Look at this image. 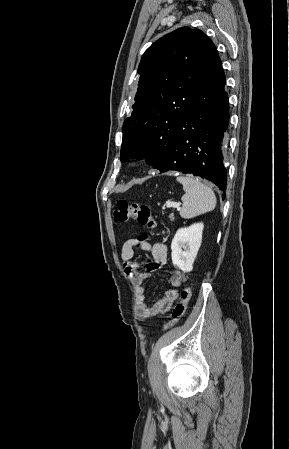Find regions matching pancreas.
Listing matches in <instances>:
<instances>
[{
  "mask_svg": "<svg viewBox=\"0 0 289 449\" xmlns=\"http://www.w3.org/2000/svg\"><path fill=\"white\" fill-rule=\"evenodd\" d=\"M170 219H171V221H173L175 219L173 214L170 215Z\"/></svg>",
  "mask_w": 289,
  "mask_h": 449,
  "instance_id": "obj_1",
  "label": "pancreas"
}]
</instances>
